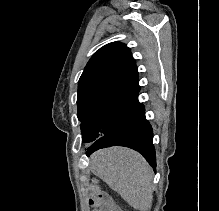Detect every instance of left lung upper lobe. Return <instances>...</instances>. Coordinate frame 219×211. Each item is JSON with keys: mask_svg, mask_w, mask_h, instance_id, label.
I'll return each mask as SVG.
<instances>
[{"mask_svg": "<svg viewBox=\"0 0 219 211\" xmlns=\"http://www.w3.org/2000/svg\"><path fill=\"white\" fill-rule=\"evenodd\" d=\"M138 70L130 48L120 42L100 48L78 82V120L82 140L109 134L138 98Z\"/></svg>", "mask_w": 219, "mask_h": 211, "instance_id": "5c2ea615", "label": "left lung upper lobe"}]
</instances>
